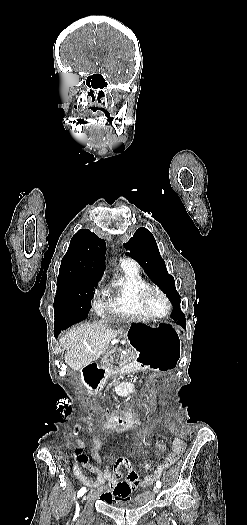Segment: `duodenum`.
<instances>
[{
    "label": "duodenum",
    "mask_w": 247,
    "mask_h": 525,
    "mask_svg": "<svg viewBox=\"0 0 247 525\" xmlns=\"http://www.w3.org/2000/svg\"><path fill=\"white\" fill-rule=\"evenodd\" d=\"M136 370L134 362L120 364L117 367H100L96 363H88L81 370V379L83 383L91 390L96 391L101 381L112 374H126ZM117 395L122 397L130 396L134 393L128 385L122 384L115 389Z\"/></svg>",
    "instance_id": "duodenum-1"
}]
</instances>
